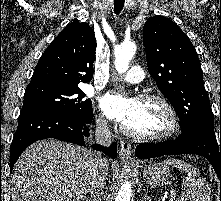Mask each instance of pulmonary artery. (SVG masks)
<instances>
[{
	"mask_svg": "<svg viewBox=\"0 0 221 201\" xmlns=\"http://www.w3.org/2000/svg\"><path fill=\"white\" fill-rule=\"evenodd\" d=\"M143 79H144V71L139 66H133L126 74L114 78V80L116 81H125L134 84L143 81Z\"/></svg>",
	"mask_w": 221,
	"mask_h": 201,
	"instance_id": "1",
	"label": "pulmonary artery"
}]
</instances>
